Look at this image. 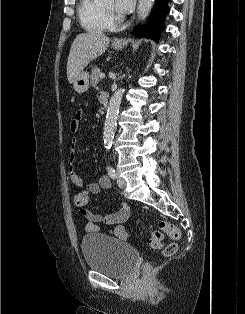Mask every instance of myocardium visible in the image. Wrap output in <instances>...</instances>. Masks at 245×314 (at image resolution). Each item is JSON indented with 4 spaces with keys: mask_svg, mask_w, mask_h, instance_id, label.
Masks as SVG:
<instances>
[{
    "mask_svg": "<svg viewBox=\"0 0 245 314\" xmlns=\"http://www.w3.org/2000/svg\"><path fill=\"white\" fill-rule=\"evenodd\" d=\"M102 13L107 20V22L111 25L119 24L122 21V17L117 14L115 11L106 9L103 5H101Z\"/></svg>",
    "mask_w": 245,
    "mask_h": 314,
    "instance_id": "1",
    "label": "myocardium"
}]
</instances>
